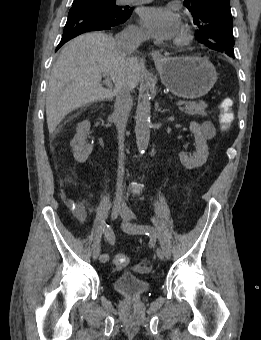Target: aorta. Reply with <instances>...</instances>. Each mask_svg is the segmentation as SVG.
I'll list each match as a JSON object with an SVG mask.
<instances>
[{
    "label": "aorta",
    "instance_id": "obj_1",
    "mask_svg": "<svg viewBox=\"0 0 261 340\" xmlns=\"http://www.w3.org/2000/svg\"><path fill=\"white\" fill-rule=\"evenodd\" d=\"M151 95L147 90L141 95L136 111V143L140 154H143L148 147L151 128Z\"/></svg>",
    "mask_w": 261,
    "mask_h": 340
}]
</instances>
